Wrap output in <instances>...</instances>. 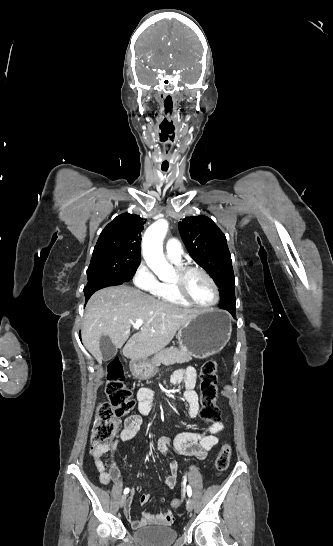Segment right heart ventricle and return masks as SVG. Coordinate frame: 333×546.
<instances>
[{"label": "right heart ventricle", "instance_id": "e07e8e85", "mask_svg": "<svg viewBox=\"0 0 333 546\" xmlns=\"http://www.w3.org/2000/svg\"><path fill=\"white\" fill-rule=\"evenodd\" d=\"M179 266V263H175ZM158 298L165 303H170L178 306L188 307V303L183 301L176 293L172 282L161 283V290L158 294Z\"/></svg>", "mask_w": 333, "mask_h": 546}]
</instances>
